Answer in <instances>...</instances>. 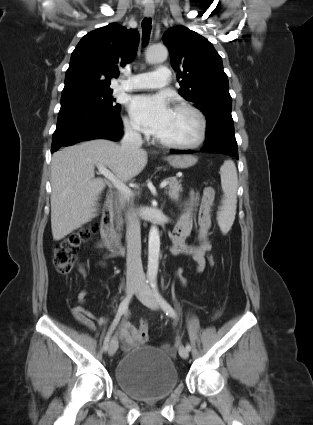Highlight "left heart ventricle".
<instances>
[{
    "label": "left heart ventricle",
    "instance_id": "obj_1",
    "mask_svg": "<svg viewBox=\"0 0 313 425\" xmlns=\"http://www.w3.org/2000/svg\"><path fill=\"white\" fill-rule=\"evenodd\" d=\"M198 129V121L194 115L182 110H172L167 125L157 137L170 142H191L196 138Z\"/></svg>",
    "mask_w": 313,
    "mask_h": 425
}]
</instances>
